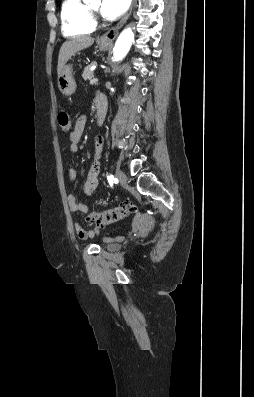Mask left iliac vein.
<instances>
[{"label": "left iliac vein", "instance_id": "4c4485c4", "mask_svg": "<svg viewBox=\"0 0 254 397\" xmlns=\"http://www.w3.org/2000/svg\"><path fill=\"white\" fill-rule=\"evenodd\" d=\"M116 177L121 182V184L125 185L127 183V177L125 173L119 169L116 170Z\"/></svg>", "mask_w": 254, "mask_h": 397}]
</instances>
